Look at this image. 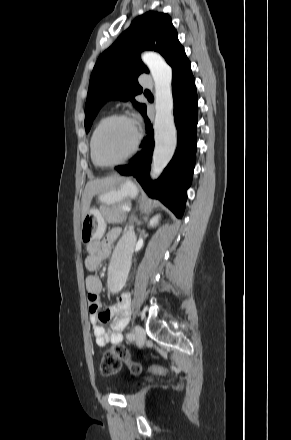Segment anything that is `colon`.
<instances>
[{"mask_svg":"<svg viewBox=\"0 0 291 440\" xmlns=\"http://www.w3.org/2000/svg\"><path fill=\"white\" fill-rule=\"evenodd\" d=\"M109 317L105 316L101 322L106 323ZM121 362H124L132 374H138L141 371L140 363L133 361L125 346L121 344L113 345L106 351L100 362V371L104 375H114L119 372Z\"/></svg>","mask_w":291,"mask_h":440,"instance_id":"colon-1","label":"colon"}]
</instances>
